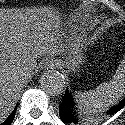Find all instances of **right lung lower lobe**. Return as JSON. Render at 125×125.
Here are the masks:
<instances>
[{"label": "right lung lower lobe", "instance_id": "1", "mask_svg": "<svg viewBox=\"0 0 125 125\" xmlns=\"http://www.w3.org/2000/svg\"><path fill=\"white\" fill-rule=\"evenodd\" d=\"M16 109L13 111V113L8 117V119L2 123V125H11L13 119H14V115H15Z\"/></svg>", "mask_w": 125, "mask_h": 125}]
</instances>
